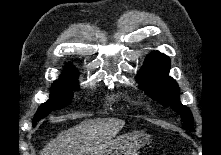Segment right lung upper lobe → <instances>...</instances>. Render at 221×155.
Wrapping results in <instances>:
<instances>
[{
  "label": "right lung upper lobe",
  "instance_id": "cb5924a9",
  "mask_svg": "<svg viewBox=\"0 0 221 155\" xmlns=\"http://www.w3.org/2000/svg\"><path fill=\"white\" fill-rule=\"evenodd\" d=\"M72 69H73L72 66L71 67H67V70H65L63 75L69 74V73H73L74 71H72Z\"/></svg>",
  "mask_w": 221,
  "mask_h": 155
}]
</instances>
